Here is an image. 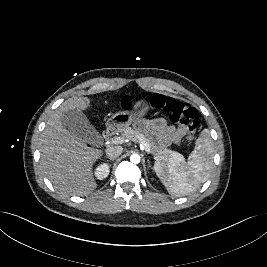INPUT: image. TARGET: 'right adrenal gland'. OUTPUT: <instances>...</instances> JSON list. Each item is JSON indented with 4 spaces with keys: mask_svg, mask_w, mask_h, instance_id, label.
Wrapping results in <instances>:
<instances>
[{
    "mask_svg": "<svg viewBox=\"0 0 267 267\" xmlns=\"http://www.w3.org/2000/svg\"><path fill=\"white\" fill-rule=\"evenodd\" d=\"M106 158H108L107 156H106ZM111 161H114L115 159H112V158H109Z\"/></svg>",
    "mask_w": 267,
    "mask_h": 267,
    "instance_id": "right-adrenal-gland-1",
    "label": "right adrenal gland"
}]
</instances>
